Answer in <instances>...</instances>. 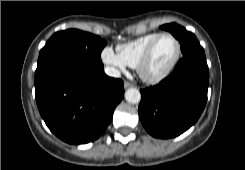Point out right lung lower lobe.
Segmentation results:
<instances>
[{
    "instance_id": "98d812e1",
    "label": "right lung lower lobe",
    "mask_w": 245,
    "mask_h": 170,
    "mask_svg": "<svg viewBox=\"0 0 245 170\" xmlns=\"http://www.w3.org/2000/svg\"><path fill=\"white\" fill-rule=\"evenodd\" d=\"M36 102L47 127L69 144L98 139L124 96L121 79L108 77L101 62L67 59L35 78Z\"/></svg>"
}]
</instances>
